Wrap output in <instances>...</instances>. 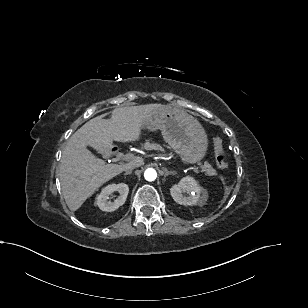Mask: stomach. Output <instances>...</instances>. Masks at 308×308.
<instances>
[{"instance_id": "stomach-1", "label": "stomach", "mask_w": 308, "mask_h": 308, "mask_svg": "<svg viewBox=\"0 0 308 308\" xmlns=\"http://www.w3.org/2000/svg\"><path fill=\"white\" fill-rule=\"evenodd\" d=\"M143 129L161 130L164 140L177 152L183 163L193 164L204 158L208 139L193 116L182 109L163 106L144 118Z\"/></svg>"}]
</instances>
